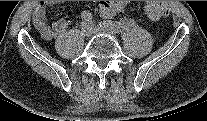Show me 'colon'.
I'll use <instances>...</instances> for the list:
<instances>
[{"label": "colon", "instance_id": "colon-1", "mask_svg": "<svg viewBox=\"0 0 207 121\" xmlns=\"http://www.w3.org/2000/svg\"><path fill=\"white\" fill-rule=\"evenodd\" d=\"M146 16L151 20H159L169 14L168 6L161 1H150L144 8Z\"/></svg>", "mask_w": 207, "mask_h": 121}]
</instances>
